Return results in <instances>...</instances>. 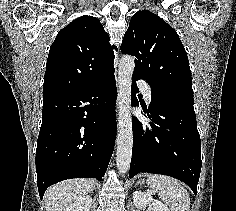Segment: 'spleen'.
I'll use <instances>...</instances> for the list:
<instances>
[{
    "instance_id": "1",
    "label": "spleen",
    "mask_w": 236,
    "mask_h": 211,
    "mask_svg": "<svg viewBox=\"0 0 236 211\" xmlns=\"http://www.w3.org/2000/svg\"><path fill=\"white\" fill-rule=\"evenodd\" d=\"M150 187L166 202L171 211H189L190 197L180 182L169 176L150 174L147 178Z\"/></svg>"
}]
</instances>
